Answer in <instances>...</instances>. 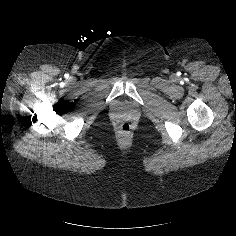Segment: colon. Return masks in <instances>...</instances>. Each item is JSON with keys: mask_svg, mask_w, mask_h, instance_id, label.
I'll return each mask as SVG.
<instances>
[{"mask_svg": "<svg viewBox=\"0 0 236 236\" xmlns=\"http://www.w3.org/2000/svg\"><path fill=\"white\" fill-rule=\"evenodd\" d=\"M120 132L123 134V135H127L131 132L132 130V126L129 122H122L120 124Z\"/></svg>", "mask_w": 236, "mask_h": 236, "instance_id": "5ec220e1", "label": "colon"}]
</instances>
